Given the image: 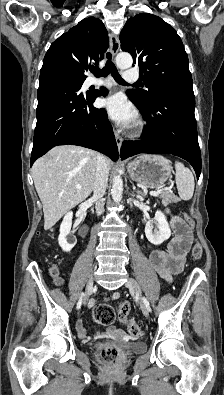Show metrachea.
<instances>
[{"instance_id": "trachea-1", "label": "trachea", "mask_w": 224, "mask_h": 395, "mask_svg": "<svg viewBox=\"0 0 224 395\" xmlns=\"http://www.w3.org/2000/svg\"><path fill=\"white\" fill-rule=\"evenodd\" d=\"M106 57L108 61L106 62L105 67H103L102 70H100L98 67H93L90 69V71L96 76V77H106L108 74L111 73L112 77L114 80L122 85H126V82L122 79L120 74L118 73V70L114 63L111 61V54L107 53ZM137 83H135L136 85Z\"/></svg>"}]
</instances>
